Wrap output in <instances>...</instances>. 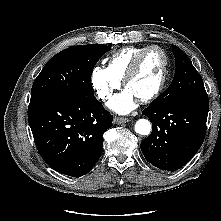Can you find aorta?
<instances>
[{"instance_id": "obj_1", "label": "aorta", "mask_w": 221, "mask_h": 221, "mask_svg": "<svg viewBox=\"0 0 221 221\" xmlns=\"http://www.w3.org/2000/svg\"><path fill=\"white\" fill-rule=\"evenodd\" d=\"M135 131L140 135H148L151 131V123L147 119H139L135 124Z\"/></svg>"}]
</instances>
